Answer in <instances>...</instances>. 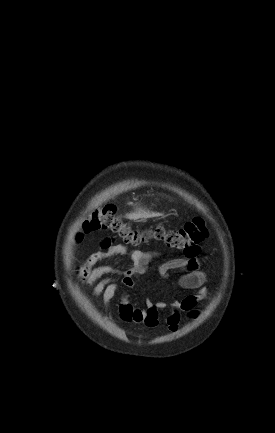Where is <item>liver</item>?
<instances>
[{
  "label": "liver",
  "instance_id": "6515ba94",
  "mask_svg": "<svg viewBox=\"0 0 275 433\" xmlns=\"http://www.w3.org/2000/svg\"><path fill=\"white\" fill-rule=\"evenodd\" d=\"M155 214L154 213H150V212H146L144 210H136V212L128 214L127 218L131 219V220H137L139 218H146V217H153Z\"/></svg>",
  "mask_w": 275,
  "mask_h": 433
}]
</instances>
